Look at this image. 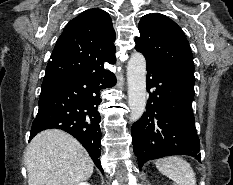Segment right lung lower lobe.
Wrapping results in <instances>:
<instances>
[{"label": "right lung lower lobe", "instance_id": "1", "mask_svg": "<svg viewBox=\"0 0 233 185\" xmlns=\"http://www.w3.org/2000/svg\"><path fill=\"white\" fill-rule=\"evenodd\" d=\"M115 83V75L105 69L44 80L30 140L42 130L62 129L81 142L103 173L99 159L101 116L97 108L101 103L100 91Z\"/></svg>", "mask_w": 233, "mask_h": 185}]
</instances>
